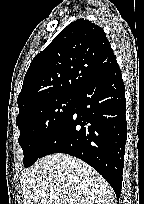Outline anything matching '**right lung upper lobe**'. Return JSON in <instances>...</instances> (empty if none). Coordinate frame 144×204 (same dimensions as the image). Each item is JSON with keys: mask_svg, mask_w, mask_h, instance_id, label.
<instances>
[{"mask_svg": "<svg viewBox=\"0 0 144 204\" xmlns=\"http://www.w3.org/2000/svg\"><path fill=\"white\" fill-rule=\"evenodd\" d=\"M115 64L101 27L86 19L72 22L32 60L17 99L19 115L53 97L76 96Z\"/></svg>", "mask_w": 144, "mask_h": 204, "instance_id": "1", "label": "right lung upper lobe"}]
</instances>
